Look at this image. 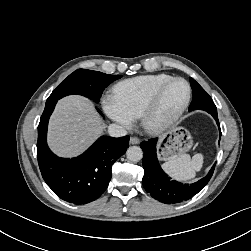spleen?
I'll use <instances>...</instances> for the list:
<instances>
[{
	"mask_svg": "<svg viewBox=\"0 0 251 251\" xmlns=\"http://www.w3.org/2000/svg\"><path fill=\"white\" fill-rule=\"evenodd\" d=\"M203 166V155L195 154L192 158L188 154H181L162 164V168L174 179L187 181L195 177L196 172Z\"/></svg>",
	"mask_w": 251,
	"mask_h": 251,
	"instance_id": "spleen-1",
	"label": "spleen"
}]
</instances>
